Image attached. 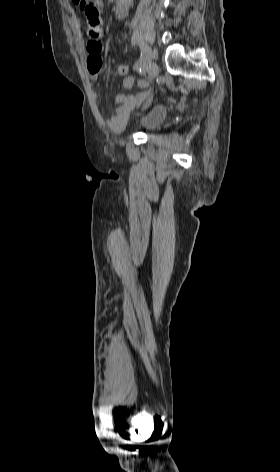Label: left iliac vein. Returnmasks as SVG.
Masks as SVG:
<instances>
[{
	"label": "left iliac vein",
	"mask_w": 280,
	"mask_h": 472,
	"mask_svg": "<svg viewBox=\"0 0 280 472\" xmlns=\"http://www.w3.org/2000/svg\"><path fill=\"white\" fill-rule=\"evenodd\" d=\"M148 76L151 80H154L159 73L158 65L154 61H150L147 65ZM150 102V100H149Z\"/></svg>",
	"instance_id": "left-iliac-vein-1"
}]
</instances>
